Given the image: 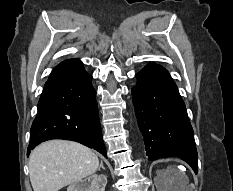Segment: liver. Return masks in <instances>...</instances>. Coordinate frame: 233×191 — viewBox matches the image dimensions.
Returning <instances> with one entry per match:
<instances>
[{
	"mask_svg": "<svg viewBox=\"0 0 233 191\" xmlns=\"http://www.w3.org/2000/svg\"><path fill=\"white\" fill-rule=\"evenodd\" d=\"M97 155L86 146L67 140H50L37 146L29 157L34 191H58L95 173Z\"/></svg>",
	"mask_w": 233,
	"mask_h": 191,
	"instance_id": "liver-1",
	"label": "liver"
}]
</instances>
